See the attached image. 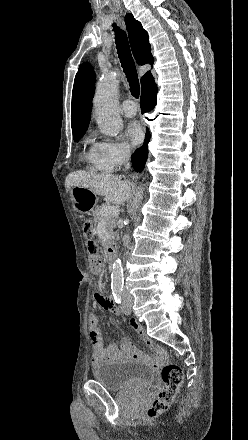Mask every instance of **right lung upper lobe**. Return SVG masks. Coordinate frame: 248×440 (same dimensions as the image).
<instances>
[{"mask_svg": "<svg viewBox=\"0 0 248 440\" xmlns=\"http://www.w3.org/2000/svg\"><path fill=\"white\" fill-rule=\"evenodd\" d=\"M125 23L131 49L137 63L140 65L146 63L153 64L154 60L151 54L148 34L143 29L141 23L135 20L132 14L126 15ZM153 79L150 71L145 73L141 78L142 88ZM94 81L95 74L93 68L88 63L80 65L75 76L72 91L71 126L73 133L84 131L88 128L92 109L91 101L95 89Z\"/></svg>", "mask_w": 248, "mask_h": 440, "instance_id": "obj_1", "label": "right lung upper lobe"}]
</instances>
